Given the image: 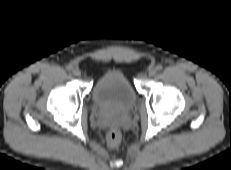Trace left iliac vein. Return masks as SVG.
Instances as JSON below:
<instances>
[{
  "label": "left iliac vein",
  "instance_id": "4c4485c4",
  "mask_svg": "<svg viewBox=\"0 0 231 170\" xmlns=\"http://www.w3.org/2000/svg\"><path fill=\"white\" fill-rule=\"evenodd\" d=\"M149 76H154L156 74V69L155 68H150L148 71Z\"/></svg>",
  "mask_w": 231,
  "mask_h": 170
}]
</instances>
